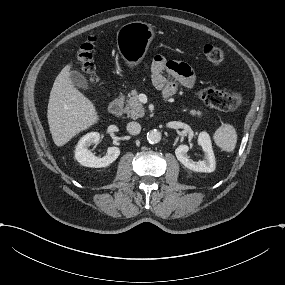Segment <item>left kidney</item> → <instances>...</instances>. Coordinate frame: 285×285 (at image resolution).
I'll return each instance as SVG.
<instances>
[{"mask_svg": "<svg viewBox=\"0 0 285 285\" xmlns=\"http://www.w3.org/2000/svg\"><path fill=\"white\" fill-rule=\"evenodd\" d=\"M198 144L205 152V160L195 162L187 155L189 147L187 145H180L175 150L177 159L188 169L196 172H213L216 168V161L212 149L210 136L207 132H201L198 136Z\"/></svg>", "mask_w": 285, "mask_h": 285, "instance_id": "5707ae66", "label": "left kidney"}]
</instances>
